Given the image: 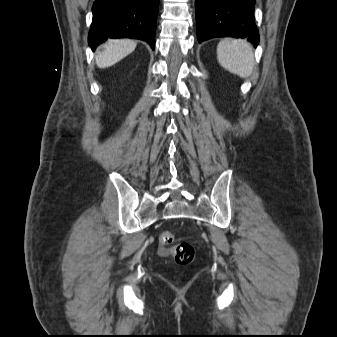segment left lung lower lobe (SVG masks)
<instances>
[{"label":"left lung lower lobe","mask_w":337,"mask_h":337,"mask_svg":"<svg viewBox=\"0 0 337 337\" xmlns=\"http://www.w3.org/2000/svg\"><path fill=\"white\" fill-rule=\"evenodd\" d=\"M255 0H195L199 43L214 37L247 38L255 47L259 33L254 20Z\"/></svg>","instance_id":"0a47b994"}]
</instances>
